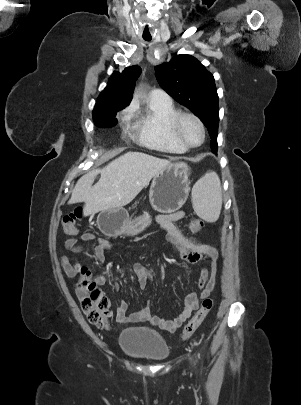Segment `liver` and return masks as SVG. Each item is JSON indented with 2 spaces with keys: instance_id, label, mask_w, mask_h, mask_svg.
I'll return each instance as SVG.
<instances>
[{
  "instance_id": "obj_1",
  "label": "liver",
  "mask_w": 301,
  "mask_h": 405,
  "mask_svg": "<svg viewBox=\"0 0 301 405\" xmlns=\"http://www.w3.org/2000/svg\"><path fill=\"white\" fill-rule=\"evenodd\" d=\"M168 164V160L148 154L127 152L102 169L92 170L82 176L76 183L69 202H84L85 216L120 209L132 202ZM99 173L101 177L93 185Z\"/></svg>"
}]
</instances>
